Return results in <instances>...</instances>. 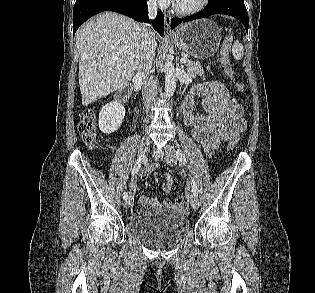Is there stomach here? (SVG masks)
<instances>
[{
  "label": "stomach",
  "mask_w": 315,
  "mask_h": 293,
  "mask_svg": "<svg viewBox=\"0 0 315 293\" xmlns=\"http://www.w3.org/2000/svg\"><path fill=\"white\" fill-rule=\"evenodd\" d=\"M170 38L188 55L204 60L213 56L218 50L221 29L215 22L201 19L179 26Z\"/></svg>",
  "instance_id": "1"
}]
</instances>
